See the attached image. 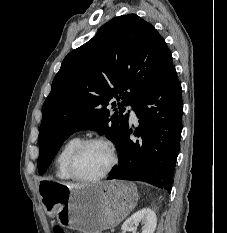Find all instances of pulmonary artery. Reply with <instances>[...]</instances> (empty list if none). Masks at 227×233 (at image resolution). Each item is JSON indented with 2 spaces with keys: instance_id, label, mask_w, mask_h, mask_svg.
I'll list each match as a JSON object with an SVG mask.
<instances>
[{
  "instance_id": "obj_1",
  "label": "pulmonary artery",
  "mask_w": 227,
  "mask_h": 233,
  "mask_svg": "<svg viewBox=\"0 0 227 233\" xmlns=\"http://www.w3.org/2000/svg\"><path fill=\"white\" fill-rule=\"evenodd\" d=\"M127 110L129 111V115H130L131 121L135 122V121L137 120V117H136V114H135V112H134L132 106H131V105H128V106H127Z\"/></svg>"
}]
</instances>
